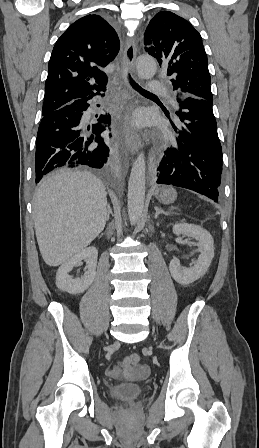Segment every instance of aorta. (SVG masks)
<instances>
[{
  "mask_svg": "<svg viewBox=\"0 0 259 448\" xmlns=\"http://www.w3.org/2000/svg\"><path fill=\"white\" fill-rule=\"evenodd\" d=\"M136 69L140 78L150 79L156 73L157 65L153 57L143 55L136 60ZM146 161L141 152L133 163L128 182V215L132 225L141 218L145 200Z\"/></svg>",
  "mask_w": 259,
  "mask_h": 448,
  "instance_id": "obj_1",
  "label": "aorta"
}]
</instances>
